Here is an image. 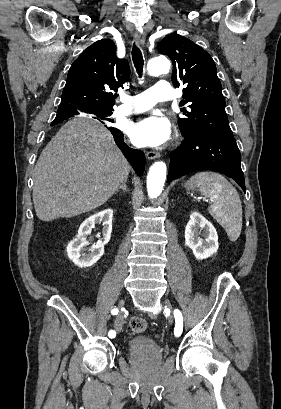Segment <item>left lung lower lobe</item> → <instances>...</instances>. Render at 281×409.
Listing matches in <instances>:
<instances>
[{
  "mask_svg": "<svg viewBox=\"0 0 281 409\" xmlns=\"http://www.w3.org/2000/svg\"><path fill=\"white\" fill-rule=\"evenodd\" d=\"M181 147L170 154L168 181L200 170H214L233 178L246 191L241 155L234 137L207 131L184 136Z\"/></svg>",
  "mask_w": 281,
  "mask_h": 409,
  "instance_id": "0a47b994",
  "label": "left lung lower lobe"
}]
</instances>
